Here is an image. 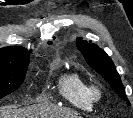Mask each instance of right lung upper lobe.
<instances>
[{
	"label": "right lung upper lobe",
	"mask_w": 133,
	"mask_h": 118,
	"mask_svg": "<svg viewBox=\"0 0 133 118\" xmlns=\"http://www.w3.org/2000/svg\"><path fill=\"white\" fill-rule=\"evenodd\" d=\"M31 51L22 47H5L0 49V68H14L29 64Z\"/></svg>",
	"instance_id": "1"
}]
</instances>
